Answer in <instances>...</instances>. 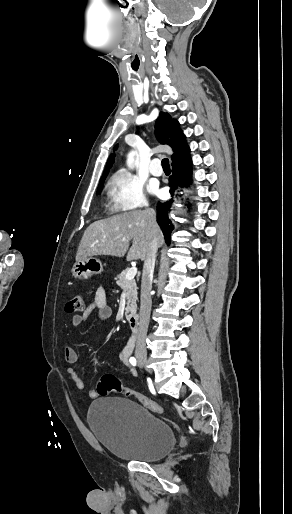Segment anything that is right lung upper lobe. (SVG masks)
Here are the masks:
<instances>
[{
  "instance_id": "obj_1",
  "label": "right lung upper lobe",
  "mask_w": 292,
  "mask_h": 514,
  "mask_svg": "<svg viewBox=\"0 0 292 514\" xmlns=\"http://www.w3.org/2000/svg\"><path fill=\"white\" fill-rule=\"evenodd\" d=\"M155 131L158 141L161 144H167L172 148V163L189 154V146L187 145L182 130L179 128V123L176 120L172 121L171 116L168 113H160L155 124ZM116 149L117 145L114 147V150ZM114 159V155L111 154L100 181L105 180L107 177L109 169L114 163Z\"/></svg>"
}]
</instances>
